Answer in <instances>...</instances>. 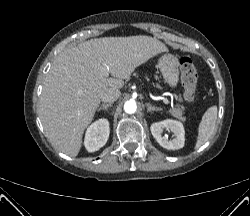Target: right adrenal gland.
I'll list each match as a JSON object with an SVG mask.
<instances>
[{
    "label": "right adrenal gland",
    "instance_id": "1",
    "mask_svg": "<svg viewBox=\"0 0 250 216\" xmlns=\"http://www.w3.org/2000/svg\"><path fill=\"white\" fill-rule=\"evenodd\" d=\"M112 106V103L109 104H103L101 107L98 108V111L100 110H107L108 107Z\"/></svg>",
    "mask_w": 250,
    "mask_h": 216
}]
</instances>
